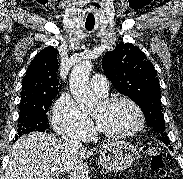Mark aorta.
I'll return each mask as SVG.
<instances>
[{"label":"aorta","instance_id":"aorta-1","mask_svg":"<svg viewBox=\"0 0 183 179\" xmlns=\"http://www.w3.org/2000/svg\"><path fill=\"white\" fill-rule=\"evenodd\" d=\"M92 63L84 60L76 64L70 74V90L83 112H91L100 102L98 96L90 89L89 76Z\"/></svg>","mask_w":183,"mask_h":179}]
</instances>
